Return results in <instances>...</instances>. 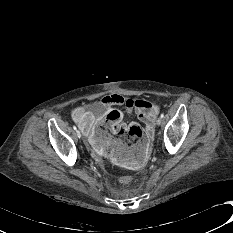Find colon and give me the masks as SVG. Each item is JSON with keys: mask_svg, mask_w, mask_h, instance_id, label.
<instances>
[{"mask_svg": "<svg viewBox=\"0 0 233 233\" xmlns=\"http://www.w3.org/2000/svg\"><path fill=\"white\" fill-rule=\"evenodd\" d=\"M118 134L123 136L126 141L133 142L136 137L143 136V131L140 128V126H138L137 124H131V125L126 126V127H120L118 129ZM121 181L124 183L128 182L129 178L123 177L121 179Z\"/></svg>", "mask_w": 233, "mask_h": 233, "instance_id": "1", "label": "colon"}]
</instances>
